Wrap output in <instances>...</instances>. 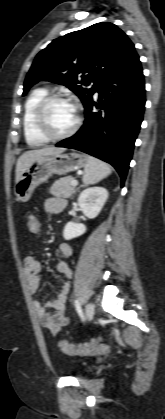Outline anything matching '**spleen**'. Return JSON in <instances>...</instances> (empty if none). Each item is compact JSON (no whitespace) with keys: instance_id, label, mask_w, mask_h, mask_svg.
I'll use <instances>...</instances> for the list:
<instances>
[{"instance_id":"spleen-1","label":"spleen","mask_w":165,"mask_h":419,"mask_svg":"<svg viewBox=\"0 0 165 419\" xmlns=\"http://www.w3.org/2000/svg\"><path fill=\"white\" fill-rule=\"evenodd\" d=\"M112 173L108 164L94 157H88L84 168L83 183L95 184Z\"/></svg>"}]
</instances>
